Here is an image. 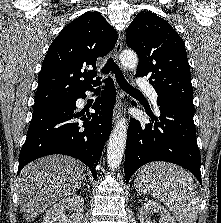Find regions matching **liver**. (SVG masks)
<instances>
[{"instance_id": "liver-1", "label": "liver", "mask_w": 221, "mask_h": 223, "mask_svg": "<svg viewBox=\"0 0 221 223\" xmlns=\"http://www.w3.org/2000/svg\"><path fill=\"white\" fill-rule=\"evenodd\" d=\"M85 178L76 159L50 155L27 164L18 177V199L23 216L32 222L54 203L77 192Z\"/></svg>"}]
</instances>
